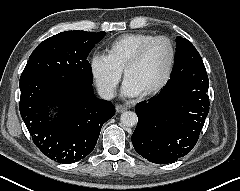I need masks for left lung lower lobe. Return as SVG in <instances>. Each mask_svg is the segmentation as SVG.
<instances>
[{
    "label": "left lung lower lobe",
    "instance_id": "obj_1",
    "mask_svg": "<svg viewBox=\"0 0 240 191\" xmlns=\"http://www.w3.org/2000/svg\"><path fill=\"white\" fill-rule=\"evenodd\" d=\"M206 69L177 65L158 95L136 108L131 136L135 151L148 161L167 164L191 151L209 112Z\"/></svg>",
    "mask_w": 240,
    "mask_h": 191
}]
</instances>
